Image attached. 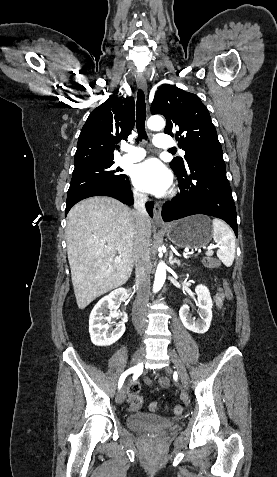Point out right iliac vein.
<instances>
[{"label":"right iliac vein","instance_id":"right-iliac-vein-1","mask_svg":"<svg viewBox=\"0 0 277 477\" xmlns=\"http://www.w3.org/2000/svg\"><path fill=\"white\" fill-rule=\"evenodd\" d=\"M144 356H145V347L141 346L133 355V358L131 361L132 364L133 365L139 364L143 360ZM125 397H126V386L124 385L117 393V396H116L117 403L119 404L123 403L125 400Z\"/></svg>","mask_w":277,"mask_h":477}]
</instances>
